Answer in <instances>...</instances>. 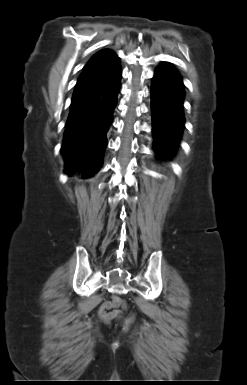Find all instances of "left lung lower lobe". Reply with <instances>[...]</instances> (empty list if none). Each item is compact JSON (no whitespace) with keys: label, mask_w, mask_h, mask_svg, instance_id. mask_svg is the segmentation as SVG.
<instances>
[{"label":"left lung lower lobe","mask_w":247,"mask_h":385,"mask_svg":"<svg viewBox=\"0 0 247 385\" xmlns=\"http://www.w3.org/2000/svg\"><path fill=\"white\" fill-rule=\"evenodd\" d=\"M184 84L170 64L155 71L151 87L152 132L157 154L170 157L177 149L184 128Z\"/></svg>","instance_id":"left-lung-lower-lobe-1"}]
</instances>
